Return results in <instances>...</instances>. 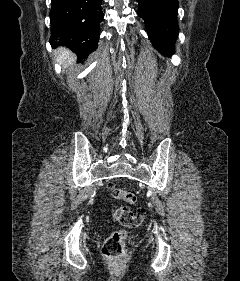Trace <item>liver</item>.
Masks as SVG:
<instances>
[{
    "instance_id": "obj_1",
    "label": "liver",
    "mask_w": 240,
    "mask_h": 281,
    "mask_svg": "<svg viewBox=\"0 0 240 281\" xmlns=\"http://www.w3.org/2000/svg\"><path fill=\"white\" fill-rule=\"evenodd\" d=\"M75 61V55H73L67 49L58 50V62L61 63L64 67H68Z\"/></svg>"
}]
</instances>
